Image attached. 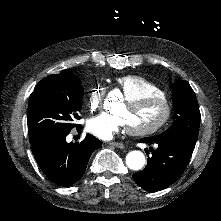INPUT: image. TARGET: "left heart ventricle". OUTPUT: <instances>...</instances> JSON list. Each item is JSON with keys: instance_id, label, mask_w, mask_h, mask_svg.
I'll list each match as a JSON object with an SVG mask.
<instances>
[{"instance_id": "left-heart-ventricle-1", "label": "left heart ventricle", "mask_w": 221, "mask_h": 221, "mask_svg": "<svg viewBox=\"0 0 221 221\" xmlns=\"http://www.w3.org/2000/svg\"><path fill=\"white\" fill-rule=\"evenodd\" d=\"M157 119V110L152 105H143L134 112V121L139 126H148Z\"/></svg>"}]
</instances>
